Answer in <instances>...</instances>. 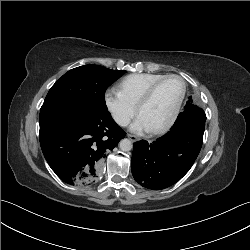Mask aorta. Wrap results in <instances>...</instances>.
<instances>
[{
    "label": "aorta",
    "mask_w": 250,
    "mask_h": 250,
    "mask_svg": "<svg viewBox=\"0 0 250 250\" xmlns=\"http://www.w3.org/2000/svg\"><path fill=\"white\" fill-rule=\"evenodd\" d=\"M119 147L122 151H130L132 149V142L127 138L122 139L119 143Z\"/></svg>",
    "instance_id": "1"
}]
</instances>
